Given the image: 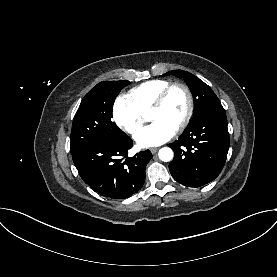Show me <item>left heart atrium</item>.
I'll list each match as a JSON object with an SVG mask.
<instances>
[{
  "label": "left heart atrium",
  "instance_id": "obj_1",
  "mask_svg": "<svg viewBox=\"0 0 277 277\" xmlns=\"http://www.w3.org/2000/svg\"><path fill=\"white\" fill-rule=\"evenodd\" d=\"M176 127L163 120H155L150 125L140 129L134 136L141 147L158 146L171 139Z\"/></svg>",
  "mask_w": 277,
  "mask_h": 277
}]
</instances>
